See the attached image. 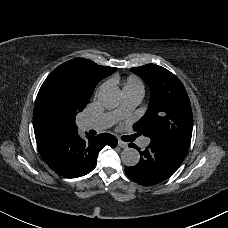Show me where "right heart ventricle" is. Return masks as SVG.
<instances>
[{
    "mask_svg": "<svg viewBox=\"0 0 228 228\" xmlns=\"http://www.w3.org/2000/svg\"><path fill=\"white\" fill-rule=\"evenodd\" d=\"M108 85L110 87L108 90L115 91L118 96H126L129 89L134 86H139L141 89L143 88L141 81L134 75H129L125 79H122L118 74H113L108 78Z\"/></svg>",
    "mask_w": 228,
    "mask_h": 228,
    "instance_id": "1",
    "label": "right heart ventricle"
}]
</instances>
